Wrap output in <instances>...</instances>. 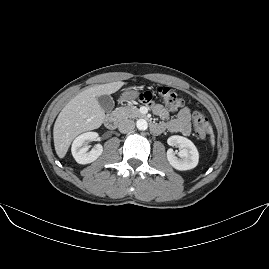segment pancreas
Masks as SVG:
<instances>
[{"mask_svg":"<svg viewBox=\"0 0 269 269\" xmlns=\"http://www.w3.org/2000/svg\"><path fill=\"white\" fill-rule=\"evenodd\" d=\"M113 115L118 120H124L126 118L141 117L142 113L135 106H121L113 111Z\"/></svg>","mask_w":269,"mask_h":269,"instance_id":"cf45deb5","label":"pancreas"}]
</instances>
